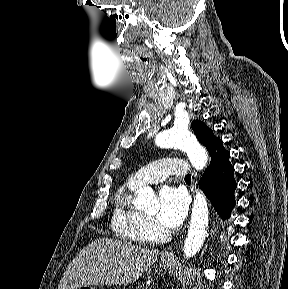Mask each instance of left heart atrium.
<instances>
[{"label": "left heart atrium", "mask_w": 288, "mask_h": 289, "mask_svg": "<svg viewBox=\"0 0 288 289\" xmlns=\"http://www.w3.org/2000/svg\"><path fill=\"white\" fill-rule=\"evenodd\" d=\"M187 197L175 187H163L159 192L158 221L165 227L176 228L184 220L187 213Z\"/></svg>", "instance_id": "obj_1"}]
</instances>
